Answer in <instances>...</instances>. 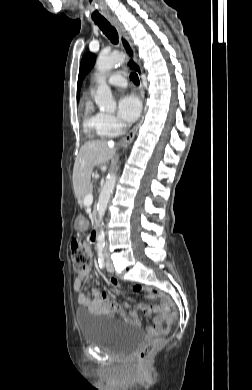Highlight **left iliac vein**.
I'll list each match as a JSON object with an SVG mask.
<instances>
[{"mask_svg":"<svg viewBox=\"0 0 252 390\" xmlns=\"http://www.w3.org/2000/svg\"><path fill=\"white\" fill-rule=\"evenodd\" d=\"M106 269L109 273H113L114 272V266H113V263L112 261L107 257L106 259Z\"/></svg>","mask_w":252,"mask_h":390,"instance_id":"left-iliac-vein-1","label":"left iliac vein"}]
</instances>
